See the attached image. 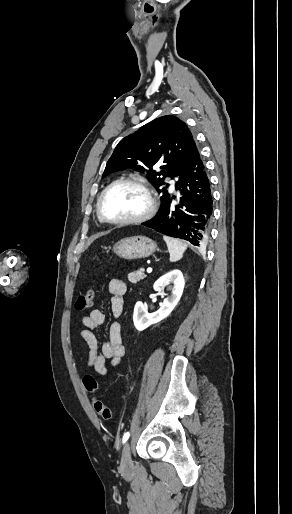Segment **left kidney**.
I'll return each instance as SVG.
<instances>
[{"instance_id": "1", "label": "left kidney", "mask_w": 292, "mask_h": 514, "mask_svg": "<svg viewBox=\"0 0 292 514\" xmlns=\"http://www.w3.org/2000/svg\"><path fill=\"white\" fill-rule=\"evenodd\" d=\"M168 284H173V286H168ZM165 286H167V290H171V294L168 298H165L162 306L154 314H148V308L142 302L135 304L133 322L136 330H139V332L149 328L152 324H158L174 310L183 294L185 286L182 272L180 270H173V272H168V274H165V276H162V278L155 282L153 288L162 298L165 296L163 292Z\"/></svg>"}]
</instances>
